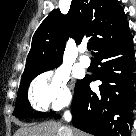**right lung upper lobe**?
Wrapping results in <instances>:
<instances>
[{"mask_svg":"<svg viewBox=\"0 0 136 136\" xmlns=\"http://www.w3.org/2000/svg\"><path fill=\"white\" fill-rule=\"evenodd\" d=\"M128 34V22L118 0H72L66 15L56 9L36 30L22 78L58 66L69 37L76 44L89 37L97 52Z\"/></svg>","mask_w":136,"mask_h":136,"instance_id":"obj_1","label":"right lung upper lobe"}]
</instances>
